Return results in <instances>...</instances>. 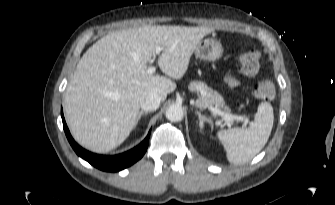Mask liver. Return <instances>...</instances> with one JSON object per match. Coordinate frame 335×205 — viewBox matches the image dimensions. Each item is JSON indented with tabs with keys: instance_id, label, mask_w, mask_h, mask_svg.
<instances>
[{
	"instance_id": "1",
	"label": "liver",
	"mask_w": 335,
	"mask_h": 205,
	"mask_svg": "<svg viewBox=\"0 0 335 205\" xmlns=\"http://www.w3.org/2000/svg\"><path fill=\"white\" fill-rule=\"evenodd\" d=\"M212 27L150 26L109 33L79 60L64 98L67 124L74 139L96 153L115 149L129 136L145 91L165 100L176 89L170 79L186 73L198 43ZM156 47L161 71L149 74Z\"/></svg>"
}]
</instances>
